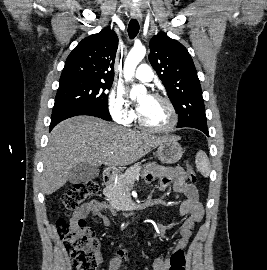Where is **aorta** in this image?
<instances>
[{
	"label": "aorta",
	"instance_id": "1",
	"mask_svg": "<svg viewBox=\"0 0 267 270\" xmlns=\"http://www.w3.org/2000/svg\"><path fill=\"white\" fill-rule=\"evenodd\" d=\"M146 55V48L143 46H135L128 53L125 63H124V78L126 81H132L134 77V72L137 65L142 61ZM146 94V88L143 85H133L130 91L131 99L136 97H142Z\"/></svg>",
	"mask_w": 267,
	"mask_h": 270
}]
</instances>
